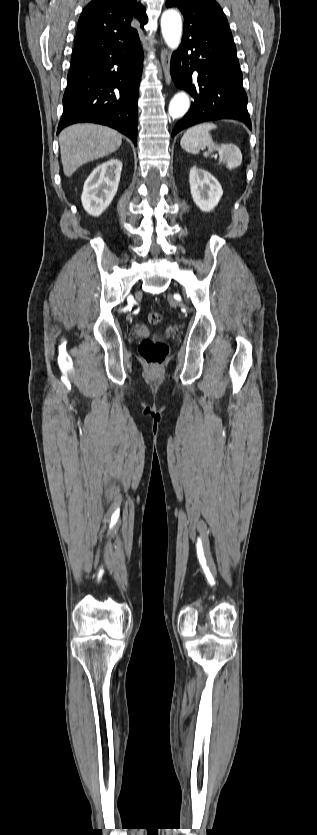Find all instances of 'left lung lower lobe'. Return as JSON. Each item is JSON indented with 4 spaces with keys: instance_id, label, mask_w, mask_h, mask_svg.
<instances>
[{
    "instance_id": "0a47b994",
    "label": "left lung lower lobe",
    "mask_w": 317,
    "mask_h": 835,
    "mask_svg": "<svg viewBox=\"0 0 317 835\" xmlns=\"http://www.w3.org/2000/svg\"><path fill=\"white\" fill-rule=\"evenodd\" d=\"M193 71H197L195 77ZM171 76L194 98L190 112L175 125L172 136L197 123L235 119L251 129L247 95L233 37L213 28L184 33L173 54Z\"/></svg>"
}]
</instances>
